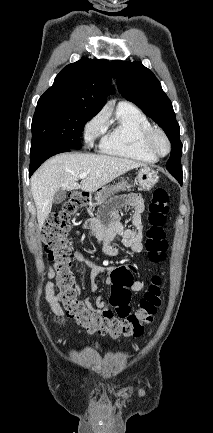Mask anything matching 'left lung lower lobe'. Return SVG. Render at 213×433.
I'll use <instances>...</instances> for the list:
<instances>
[{
	"mask_svg": "<svg viewBox=\"0 0 213 433\" xmlns=\"http://www.w3.org/2000/svg\"><path fill=\"white\" fill-rule=\"evenodd\" d=\"M178 182L180 183V185H182L183 179H179Z\"/></svg>",
	"mask_w": 213,
	"mask_h": 433,
	"instance_id": "1",
	"label": "left lung lower lobe"
}]
</instances>
